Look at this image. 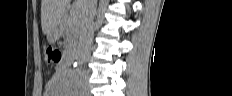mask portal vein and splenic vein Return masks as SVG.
I'll return each mask as SVG.
<instances>
[{
  "label": "portal vein and splenic vein",
  "instance_id": "18ae733b",
  "mask_svg": "<svg viewBox=\"0 0 232 96\" xmlns=\"http://www.w3.org/2000/svg\"><path fill=\"white\" fill-rule=\"evenodd\" d=\"M76 5H77V3H76V1H75V5H74V7H73L74 9L76 8ZM71 16H72L73 18H75V17H76V13H75V12H72V13H71Z\"/></svg>",
  "mask_w": 232,
  "mask_h": 96
}]
</instances>
